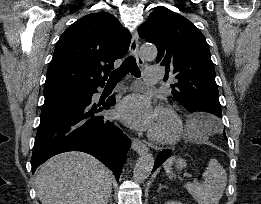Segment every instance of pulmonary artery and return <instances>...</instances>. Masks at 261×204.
Masks as SVG:
<instances>
[{"label":"pulmonary artery","instance_id":"obj_1","mask_svg":"<svg viewBox=\"0 0 261 204\" xmlns=\"http://www.w3.org/2000/svg\"><path fill=\"white\" fill-rule=\"evenodd\" d=\"M162 77V71L157 66H151L146 68L145 74H144V80L147 83H156L158 82Z\"/></svg>","mask_w":261,"mask_h":204}]
</instances>
